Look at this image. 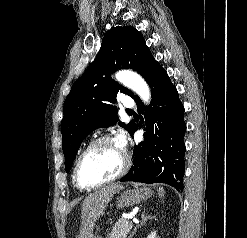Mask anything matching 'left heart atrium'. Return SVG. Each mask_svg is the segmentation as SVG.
Listing matches in <instances>:
<instances>
[{
  "label": "left heart atrium",
  "mask_w": 247,
  "mask_h": 238,
  "mask_svg": "<svg viewBox=\"0 0 247 238\" xmlns=\"http://www.w3.org/2000/svg\"><path fill=\"white\" fill-rule=\"evenodd\" d=\"M116 144L124 150L127 142H126V137L123 134H119L116 139H115Z\"/></svg>",
  "instance_id": "1"
}]
</instances>
